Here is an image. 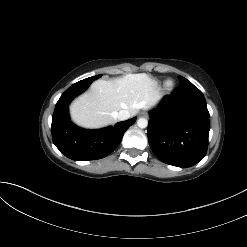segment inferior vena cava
Here are the masks:
<instances>
[{"label": "inferior vena cava", "mask_w": 247, "mask_h": 247, "mask_svg": "<svg viewBox=\"0 0 247 247\" xmlns=\"http://www.w3.org/2000/svg\"><path fill=\"white\" fill-rule=\"evenodd\" d=\"M115 118L124 121L130 118V112L128 110H121L115 114Z\"/></svg>", "instance_id": "obj_1"}]
</instances>
